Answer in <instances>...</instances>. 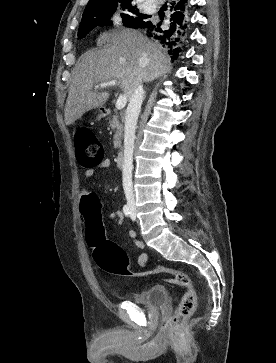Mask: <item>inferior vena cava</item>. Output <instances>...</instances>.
<instances>
[{
  "label": "inferior vena cava",
  "mask_w": 276,
  "mask_h": 363,
  "mask_svg": "<svg viewBox=\"0 0 276 363\" xmlns=\"http://www.w3.org/2000/svg\"><path fill=\"white\" fill-rule=\"evenodd\" d=\"M143 85H138L129 100L125 115L124 132V162H123V189L129 206L135 205V197L132 183L133 149L137 120L143 101Z\"/></svg>",
  "instance_id": "1"
}]
</instances>
